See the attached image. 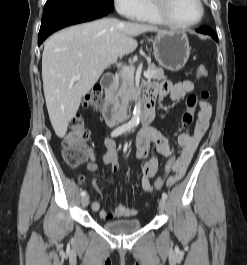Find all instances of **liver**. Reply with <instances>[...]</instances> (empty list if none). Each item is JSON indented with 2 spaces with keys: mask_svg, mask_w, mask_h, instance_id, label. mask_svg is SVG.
I'll use <instances>...</instances> for the list:
<instances>
[{
  "mask_svg": "<svg viewBox=\"0 0 247 265\" xmlns=\"http://www.w3.org/2000/svg\"><path fill=\"white\" fill-rule=\"evenodd\" d=\"M167 33L155 26L104 18L74 25L53 34L42 54L43 90L56 135L63 138L81 99L105 68L137 48L134 37ZM81 75L79 80H72Z\"/></svg>",
  "mask_w": 247,
  "mask_h": 265,
  "instance_id": "1",
  "label": "liver"
}]
</instances>
